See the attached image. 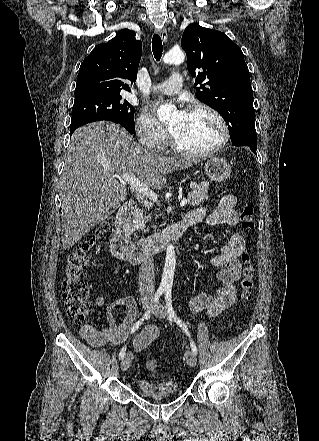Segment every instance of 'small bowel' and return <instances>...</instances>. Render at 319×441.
Returning a JSON list of instances; mask_svg holds the SVG:
<instances>
[{"label": "small bowel", "instance_id": "1", "mask_svg": "<svg viewBox=\"0 0 319 441\" xmlns=\"http://www.w3.org/2000/svg\"><path fill=\"white\" fill-rule=\"evenodd\" d=\"M236 197L234 195L223 196L216 208L208 213L204 207L191 210L184 217L187 228L204 222L208 226L229 225L238 226L240 219L235 210ZM245 248V240L240 233H233L222 245L220 254L210 259L211 265L217 267V279L221 286L215 292H203L193 297L190 302V309L193 313L205 311L210 317H216L230 308L236 299V282L241 277L242 265L239 260ZM97 306L105 303L103 296H96L93 300ZM126 309L125 317L121 323L116 322L113 311L116 307ZM137 304L131 295H125L106 305L107 324L96 329L93 326L85 325L80 328V335L92 346L102 347L107 344L119 345L128 342L133 322L136 319ZM159 336V330L155 325L145 327L132 341L135 351H141L155 341Z\"/></svg>", "mask_w": 319, "mask_h": 441}]
</instances>
